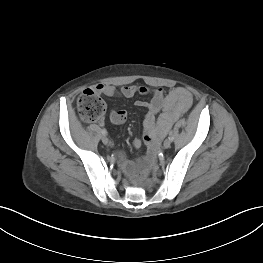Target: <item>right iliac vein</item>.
I'll return each instance as SVG.
<instances>
[{
    "label": "right iliac vein",
    "mask_w": 263,
    "mask_h": 263,
    "mask_svg": "<svg viewBox=\"0 0 263 263\" xmlns=\"http://www.w3.org/2000/svg\"><path fill=\"white\" fill-rule=\"evenodd\" d=\"M102 142H103L105 145H107V144L109 143V140H108V138H107L106 136H103V137H102Z\"/></svg>",
    "instance_id": "1"
}]
</instances>
